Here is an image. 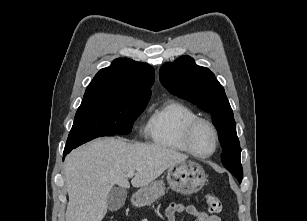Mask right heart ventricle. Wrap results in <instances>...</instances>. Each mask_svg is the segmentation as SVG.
Segmentation results:
<instances>
[{
    "label": "right heart ventricle",
    "instance_id": "1",
    "mask_svg": "<svg viewBox=\"0 0 307 221\" xmlns=\"http://www.w3.org/2000/svg\"><path fill=\"white\" fill-rule=\"evenodd\" d=\"M196 117V113L184 103L168 100L153 108L145 126V133L160 147L187 152L182 142V133L185 125Z\"/></svg>",
    "mask_w": 307,
    "mask_h": 221
}]
</instances>
